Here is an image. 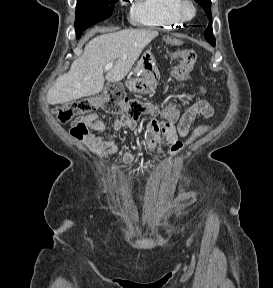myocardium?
I'll return each instance as SVG.
<instances>
[{
	"mask_svg": "<svg viewBox=\"0 0 273 288\" xmlns=\"http://www.w3.org/2000/svg\"><path fill=\"white\" fill-rule=\"evenodd\" d=\"M177 12L183 21H189L195 17L196 7L191 0H180Z\"/></svg>",
	"mask_w": 273,
	"mask_h": 288,
	"instance_id": "myocardium-1",
	"label": "myocardium"
}]
</instances>
